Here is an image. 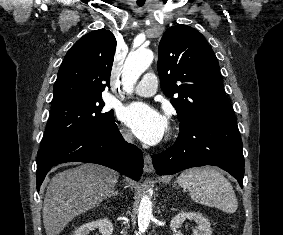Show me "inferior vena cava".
<instances>
[{"label": "inferior vena cava", "instance_id": "inferior-vena-cava-1", "mask_svg": "<svg viewBox=\"0 0 283 235\" xmlns=\"http://www.w3.org/2000/svg\"><path fill=\"white\" fill-rule=\"evenodd\" d=\"M123 136H124V139H125L127 142L132 143V141H133V136H132L131 133L127 132V133H125Z\"/></svg>", "mask_w": 283, "mask_h": 235}]
</instances>
